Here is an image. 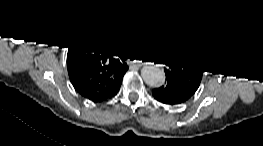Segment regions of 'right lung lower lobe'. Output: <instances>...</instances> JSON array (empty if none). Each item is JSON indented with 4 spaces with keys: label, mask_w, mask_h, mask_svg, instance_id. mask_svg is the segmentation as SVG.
Here are the masks:
<instances>
[{
    "label": "right lung lower lobe",
    "mask_w": 263,
    "mask_h": 146,
    "mask_svg": "<svg viewBox=\"0 0 263 146\" xmlns=\"http://www.w3.org/2000/svg\"><path fill=\"white\" fill-rule=\"evenodd\" d=\"M119 88H120V87H119ZM119 88H118V89L115 91L114 95H116V94H117V92H118ZM114 95H113V96H114ZM110 98H111V97H110Z\"/></svg>",
    "instance_id": "right-lung-lower-lobe-1"
}]
</instances>
